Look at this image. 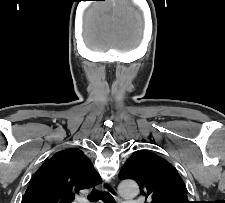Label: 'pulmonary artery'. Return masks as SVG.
Listing matches in <instances>:
<instances>
[{
    "instance_id": "pulmonary-artery-1",
    "label": "pulmonary artery",
    "mask_w": 225,
    "mask_h": 203,
    "mask_svg": "<svg viewBox=\"0 0 225 203\" xmlns=\"http://www.w3.org/2000/svg\"><path fill=\"white\" fill-rule=\"evenodd\" d=\"M124 203H142L141 200H126Z\"/></svg>"
}]
</instances>
